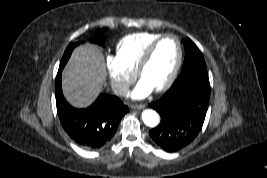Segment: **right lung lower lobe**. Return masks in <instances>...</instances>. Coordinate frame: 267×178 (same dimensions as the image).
<instances>
[{"mask_svg":"<svg viewBox=\"0 0 267 178\" xmlns=\"http://www.w3.org/2000/svg\"><path fill=\"white\" fill-rule=\"evenodd\" d=\"M63 67L55 80L56 106L60 122L69 137L86 149H99L106 145L117 131L128 107L111 95L100 94L86 109L71 106L64 98L61 87Z\"/></svg>","mask_w":267,"mask_h":178,"instance_id":"obj_1","label":"right lung lower lobe"}]
</instances>
